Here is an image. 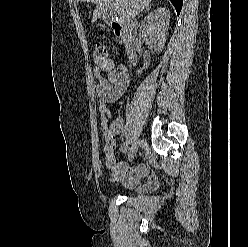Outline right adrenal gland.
I'll list each match as a JSON object with an SVG mask.
<instances>
[{
  "label": "right adrenal gland",
  "mask_w": 248,
  "mask_h": 247,
  "mask_svg": "<svg viewBox=\"0 0 248 247\" xmlns=\"http://www.w3.org/2000/svg\"><path fill=\"white\" fill-rule=\"evenodd\" d=\"M146 11H148V8H146L144 11H142V13H143V12H146ZM141 15H142V14H141Z\"/></svg>",
  "instance_id": "obj_1"
}]
</instances>
